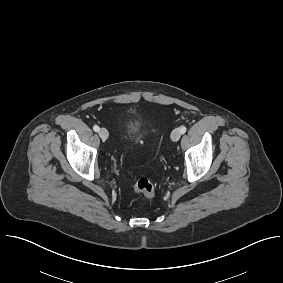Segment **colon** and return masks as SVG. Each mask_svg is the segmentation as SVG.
Wrapping results in <instances>:
<instances>
[{"label": "colon", "mask_w": 283, "mask_h": 283, "mask_svg": "<svg viewBox=\"0 0 283 283\" xmlns=\"http://www.w3.org/2000/svg\"><path fill=\"white\" fill-rule=\"evenodd\" d=\"M136 192L142 194L144 197L151 199L155 196V187L151 181L146 177H141L136 180L134 184Z\"/></svg>", "instance_id": "5ec220e1"}]
</instances>
